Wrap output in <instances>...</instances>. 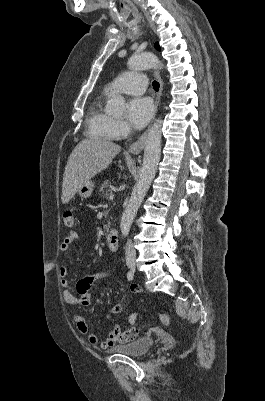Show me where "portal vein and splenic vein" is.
<instances>
[{
	"mask_svg": "<svg viewBox=\"0 0 265 401\" xmlns=\"http://www.w3.org/2000/svg\"><path fill=\"white\" fill-rule=\"evenodd\" d=\"M109 198H110V201H113L114 193H111L110 196H109Z\"/></svg>",
	"mask_w": 265,
	"mask_h": 401,
	"instance_id": "18ae733b",
	"label": "portal vein and splenic vein"
}]
</instances>
